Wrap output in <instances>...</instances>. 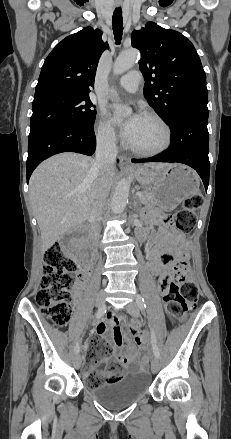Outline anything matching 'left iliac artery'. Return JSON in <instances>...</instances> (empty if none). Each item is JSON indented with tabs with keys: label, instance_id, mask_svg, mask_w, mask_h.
<instances>
[{
	"label": "left iliac artery",
	"instance_id": "1",
	"mask_svg": "<svg viewBox=\"0 0 231 439\" xmlns=\"http://www.w3.org/2000/svg\"><path fill=\"white\" fill-rule=\"evenodd\" d=\"M136 302L141 309L146 308V302L142 296L138 295L136 298ZM151 344H152V349H153V353H154L155 357L159 358L160 353H159L158 346L156 344V338H155V334L153 331H151Z\"/></svg>",
	"mask_w": 231,
	"mask_h": 439
}]
</instances>
